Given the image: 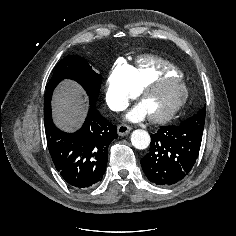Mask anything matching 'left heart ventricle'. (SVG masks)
I'll use <instances>...</instances> for the list:
<instances>
[{"label": "left heart ventricle", "mask_w": 236, "mask_h": 236, "mask_svg": "<svg viewBox=\"0 0 236 236\" xmlns=\"http://www.w3.org/2000/svg\"><path fill=\"white\" fill-rule=\"evenodd\" d=\"M179 94L177 86L165 83L148 92L142 99V105L149 115H157L167 111Z\"/></svg>", "instance_id": "obj_1"}]
</instances>
